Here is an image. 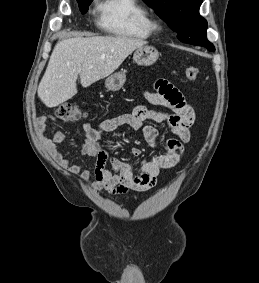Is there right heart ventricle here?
Returning <instances> with one entry per match:
<instances>
[{
    "label": "right heart ventricle",
    "instance_id": "obj_1",
    "mask_svg": "<svg viewBox=\"0 0 259 283\" xmlns=\"http://www.w3.org/2000/svg\"><path fill=\"white\" fill-rule=\"evenodd\" d=\"M151 16L139 0H104L100 5V25L108 33L123 38L151 37Z\"/></svg>",
    "mask_w": 259,
    "mask_h": 283
}]
</instances>
